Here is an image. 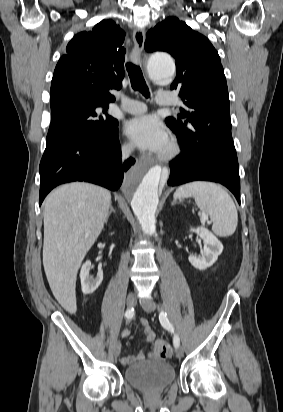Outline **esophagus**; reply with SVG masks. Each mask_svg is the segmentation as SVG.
<instances>
[{
    "instance_id": "1",
    "label": "esophagus",
    "mask_w": 283,
    "mask_h": 412,
    "mask_svg": "<svg viewBox=\"0 0 283 412\" xmlns=\"http://www.w3.org/2000/svg\"><path fill=\"white\" fill-rule=\"evenodd\" d=\"M145 42V32L142 29H135L133 32V50L132 54L135 60L140 58Z\"/></svg>"
}]
</instances>
